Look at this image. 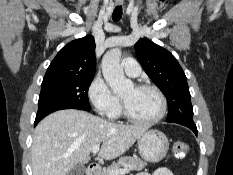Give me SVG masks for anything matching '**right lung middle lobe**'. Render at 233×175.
I'll return each mask as SVG.
<instances>
[{"instance_id": "1", "label": "right lung middle lobe", "mask_w": 233, "mask_h": 175, "mask_svg": "<svg viewBox=\"0 0 233 175\" xmlns=\"http://www.w3.org/2000/svg\"><path fill=\"white\" fill-rule=\"evenodd\" d=\"M94 75L44 78L36 116L61 109L90 110L88 89Z\"/></svg>"}]
</instances>
